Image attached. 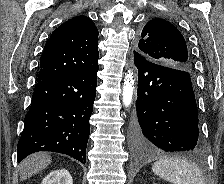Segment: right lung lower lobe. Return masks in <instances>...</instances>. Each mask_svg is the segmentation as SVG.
<instances>
[{
    "label": "right lung lower lobe",
    "instance_id": "1",
    "mask_svg": "<svg viewBox=\"0 0 224 184\" xmlns=\"http://www.w3.org/2000/svg\"><path fill=\"white\" fill-rule=\"evenodd\" d=\"M98 68L37 82L17 145L18 162L38 151L86 162Z\"/></svg>",
    "mask_w": 224,
    "mask_h": 184
}]
</instances>
